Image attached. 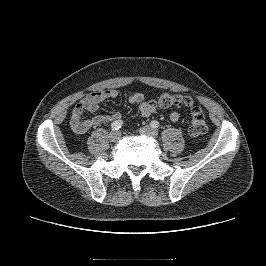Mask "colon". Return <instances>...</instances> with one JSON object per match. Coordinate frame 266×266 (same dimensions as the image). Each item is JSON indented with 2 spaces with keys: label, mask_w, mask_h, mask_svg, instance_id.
Instances as JSON below:
<instances>
[{
  "label": "colon",
  "mask_w": 266,
  "mask_h": 266,
  "mask_svg": "<svg viewBox=\"0 0 266 266\" xmlns=\"http://www.w3.org/2000/svg\"><path fill=\"white\" fill-rule=\"evenodd\" d=\"M153 104L159 107L181 106L189 107L191 119L189 134L192 137H200L207 132V123L202 109L197 106L193 99L182 95L162 94L153 100Z\"/></svg>",
  "instance_id": "colon-1"
}]
</instances>
